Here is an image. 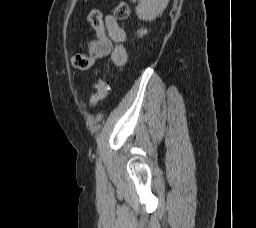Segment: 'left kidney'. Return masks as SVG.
I'll list each match as a JSON object with an SVG mask.
<instances>
[{
    "mask_svg": "<svg viewBox=\"0 0 256 228\" xmlns=\"http://www.w3.org/2000/svg\"><path fill=\"white\" fill-rule=\"evenodd\" d=\"M139 35L142 37L143 35H145L147 33V30L146 29H141L139 32Z\"/></svg>",
    "mask_w": 256,
    "mask_h": 228,
    "instance_id": "left-kidney-1",
    "label": "left kidney"
}]
</instances>
